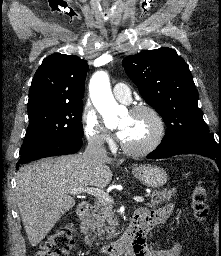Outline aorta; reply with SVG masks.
<instances>
[{
	"label": "aorta",
	"instance_id": "762f6f07",
	"mask_svg": "<svg viewBox=\"0 0 221 256\" xmlns=\"http://www.w3.org/2000/svg\"><path fill=\"white\" fill-rule=\"evenodd\" d=\"M89 91L91 100L103 116L104 122L116 119L121 108L112 95L109 77L106 72L98 71L92 76Z\"/></svg>",
	"mask_w": 221,
	"mask_h": 256
}]
</instances>
